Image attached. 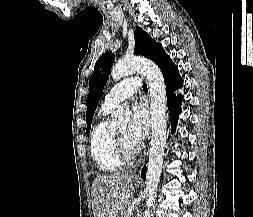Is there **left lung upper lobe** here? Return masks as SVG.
I'll use <instances>...</instances> for the list:
<instances>
[{"instance_id": "obj_1", "label": "left lung upper lobe", "mask_w": 253, "mask_h": 217, "mask_svg": "<svg viewBox=\"0 0 253 217\" xmlns=\"http://www.w3.org/2000/svg\"><path fill=\"white\" fill-rule=\"evenodd\" d=\"M134 52L139 55H144L149 59L153 60L158 66L162 65L169 58L162 48L160 43L153 40L140 27L135 30V50ZM115 55L112 52H107L102 55L95 64L94 72L92 73L89 80L90 92L87 96V112L86 122L87 129L86 133L89 134L91 128L92 118L97 106V103L102 95L104 84L109 78L111 67L113 65Z\"/></svg>"}]
</instances>
